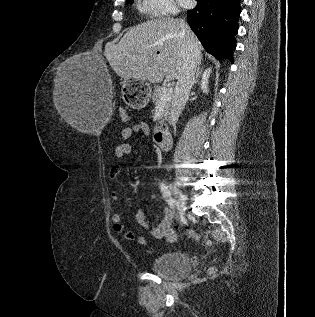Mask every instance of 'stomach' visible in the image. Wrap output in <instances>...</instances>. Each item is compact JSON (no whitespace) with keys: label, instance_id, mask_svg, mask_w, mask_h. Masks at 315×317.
<instances>
[{"label":"stomach","instance_id":"0dacf381","mask_svg":"<svg viewBox=\"0 0 315 317\" xmlns=\"http://www.w3.org/2000/svg\"><path fill=\"white\" fill-rule=\"evenodd\" d=\"M152 88L149 83L138 79H127L122 82V98L133 109H142L151 104Z\"/></svg>","mask_w":315,"mask_h":317}]
</instances>
